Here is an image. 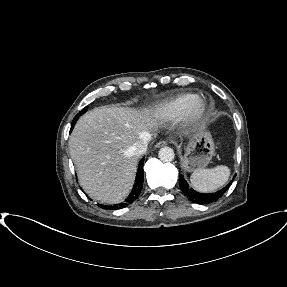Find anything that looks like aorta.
Returning a JSON list of instances; mask_svg holds the SVG:
<instances>
[{
    "label": "aorta",
    "mask_w": 287,
    "mask_h": 287,
    "mask_svg": "<svg viewBox=\"0 0 287 287\" xmlns=\"http://www.w3.org/2000/svg\"><path fill=\"white\" fill-rule=\"evenodd\" d=\"M159 159L163 162H170L174 159V150L170 147H163L158 153Z\"/></svg>",
    "instance_id": "aorta-1"
}]
</instances>
